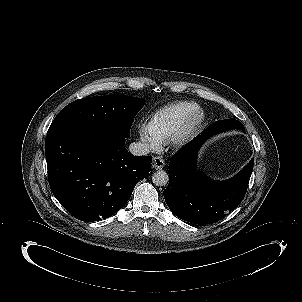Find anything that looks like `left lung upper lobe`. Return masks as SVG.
I'll return each instance as SVG.
<instances>
[{
    "mask_svg": "<svg viewBox=\"0 0 302 302\" xmlns=\"http://www.w3.org/2000/svg\"><path fill=\"white\" fill-rule=\"evenodd\" d=\"M213 127L217 132H222L228 129H240L245 132V128L242 123L236 119H225L217 121L213 124Z\"/></svg>",
    "mask_w": 302,
    "mask_h": 302,
    "instance_id": "1",
    "label": "left lung upper lobe"
}]
</instances>
